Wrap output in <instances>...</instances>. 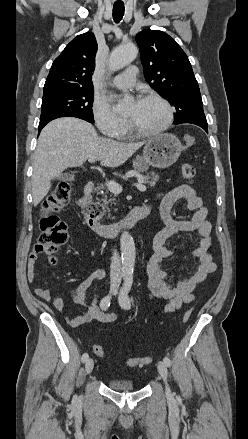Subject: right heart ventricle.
<instances>
[{
    "label": "right heart ventricle",
    "instance_id": "e07e8e85",
    "mask_svg": "<svg viewBox=\"0 0 248 439\" xmlns=\"http://www.w3.org/2000/svg\"><path fill=\"white\" fill-rule=\"evenodd\" d=\"M117 138L123 141H130L135 138V134L127 126L125 130Z\"/></svg>",
    "mask_w": 248,
    "mask_h": 439
}]
</instances>
